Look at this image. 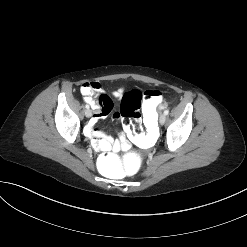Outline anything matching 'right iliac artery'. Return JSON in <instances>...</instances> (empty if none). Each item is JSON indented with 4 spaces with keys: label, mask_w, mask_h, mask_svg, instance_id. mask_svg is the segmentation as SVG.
I'll list each match as a JSON object with an SVG mask.
<instances>
[{
    "label": "right iliac artery",
    "mask_w": 247,
    "mask_h": 247,
    "mask_svg": "<svg viewBox=\"0 0 247 247\" xmlns=\"http://www.w3.org/2000/svg\"><path fill=\"white\" fill-rule=\"evenodd\" d=\"M85 108H86V109H89V105H86Z\"/></svg>",
    "instance_id": "82829eb1"
}]
</instances>
